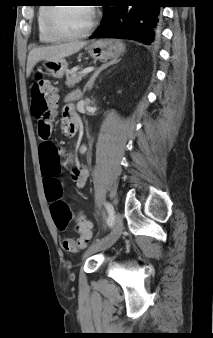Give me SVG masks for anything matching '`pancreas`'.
Masks as SVG:
<instances>
[{
  "label": "pancreas",
  "instance_id": "pancreas-1",
  "mask_svg": "<svg viewBox=\"0 0 213 338\" xmlns=\"http://www.w3.org/2000/svg\"><path fill=\"white\" fill-rule=\"evenodd\" d=\"M86 74L82 72H73L69 75H66V84L68 87H74L75 84L79 83Z\"/></svg>",
  "mask_w": 213,
  "mask_h": 338
}]
</instances>
